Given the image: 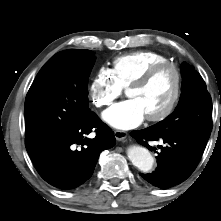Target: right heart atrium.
I'll return each instance as SVG.
<instances>
[{
	"mask_svg": "<svg viewBox=\"0 0 221 221\" xmlns=\"http://www.w3.org/2000/svg\"><path fill=\"white\" fill-rule=\"evenodd\" d=\"M121 93L122 88L106 68L98 70L89 86L91 102L97 108L112 105Z\"/></svg>",
	"mask_w": 221,
	"mask_h": 221,
	"instance_id": "1",
	"label": "right heart atrium"
}]
</instances>
